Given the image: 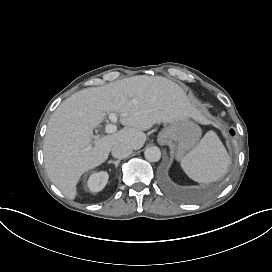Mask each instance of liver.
I'll list each match as a JSON object with an SVG mask.
<instances>
[{"label": "liver", "instance_id": "1", "mask_svg": "<svg viewBox=\"0 0 272 272\" xmlns=\"http://www.w3.org/2000/svg\"><path fill=\"white\" fill-rule=\"evenodd\" d=\"M110 112L120 114L125 127L97 138L87 150L93 129ZM189 119L204 122L182 89L163 77L138 75L83 89L64 100L49 119L43 146L46 171L62 194L75 200L82 175L104 163L113 146L124 143L140 150L146 142L143 131Z\"/></svg>", "mask_w": 272, "mask_h": 272}]
</instances>
